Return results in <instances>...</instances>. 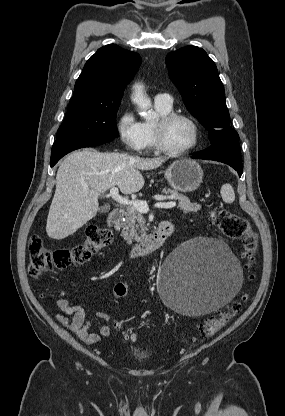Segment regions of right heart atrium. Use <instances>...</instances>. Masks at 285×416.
<instances>
[{
    "instance_id": "1",
    "label": "right heart atrium",
    "mask_w": 285,
    "mask_h": 416,
    "mask_svg": "<svg viewBox=\"0 0 285 416\" xmlns=\"http://www.w3.org/2000/svg\"><path fill=\"white\" fill-rule=\"evenodd\" d=\"M117 129L121 142L127 148L137 152L146 148V137L142 122L132 107L122 109L119 114Z\"/></svg>"
}]
</instances>
